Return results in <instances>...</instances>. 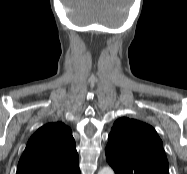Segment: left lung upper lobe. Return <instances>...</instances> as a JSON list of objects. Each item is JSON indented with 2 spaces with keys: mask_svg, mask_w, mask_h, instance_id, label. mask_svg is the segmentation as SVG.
<instances>
[{
  "mask_svg": "<svg viewBox=\"0 0 187 174\" xmlns=\"http://www.w3.org/2000/svg\"><path fill=\"white\" fill-rule=\"evenodd\" d=\"M108 139L106 160L115 174H169L163 143L152 126L120 118Z\"/></svg>",
  "mask_w": 187,
  "mask_h": 174,
  "instance_id": "1",
  "label": "left lung upper lobe"
}]
</instances>
